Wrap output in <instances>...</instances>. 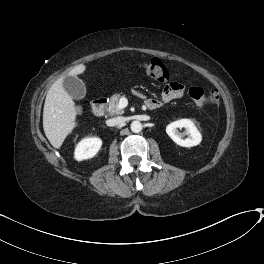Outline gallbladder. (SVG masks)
<instances>
[{
	"label": "gallbladder",
	"instance_id": "bac80fb5",
	"mask_svg": "<svg viewBox=\"0 0 264 264\" xmlns=\"http://www.w3.org/2000/svg\"><path fill=\"white\" fill-rule=\"evenodd\" d=\"M64 88L74 99H82L86 95L84 82L76 76H66L64 78Z\"/></svg>",
	"mask_w": 264,
	"mask_h": 264
}]
</instances>
